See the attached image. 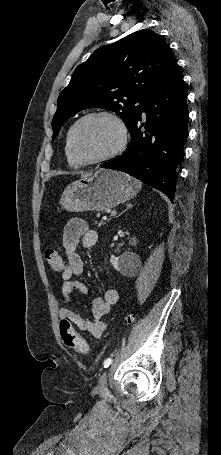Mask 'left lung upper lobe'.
Returning <instances> with one entry per match:
<instances>
[{
    "label": "left lung upper lobe",
    "mask_w": 221,
    "mask_h": 455,
    "mask_svg": "<svg viewBox=\"0 0 221 455\" xmlns=\"http://www.w3.org/2000/svg\"><path fill=\"white\" fill-rule=\"evenodd\" d=\"M175 63L166 42L149 29L98 48L75 69L60 93L52 121L53 138L67 119L91 107L116 112L130 131L146 98Z\"/></svg>",
    "instance_id": "5c2ea615"
}]
</instances>
